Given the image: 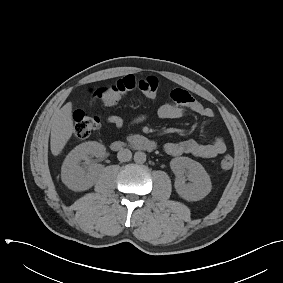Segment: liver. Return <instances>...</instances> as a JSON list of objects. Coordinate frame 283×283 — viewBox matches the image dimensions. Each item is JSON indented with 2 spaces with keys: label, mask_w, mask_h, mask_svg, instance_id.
<instances>
[{
  "label": "liver",
  "mask_w": 283,
  "mask_h": 283,
  "mask_svg": "<svg viewBox=\"0 0 283 283\" xmlns=\"http://www.w3.org/2000/svg\"><path fill=\"white\" fill-rule=\"evenodd\" d=\"M74 132L72 120V103H66L52 117L50 148L58 156Z\"/></svg>",
  "instance_id": "liver-1"
}]
</instances>
